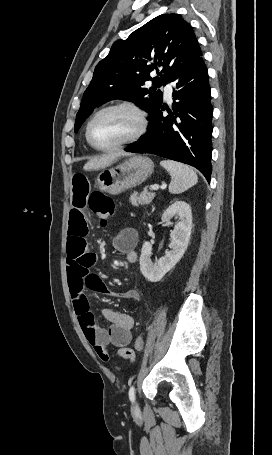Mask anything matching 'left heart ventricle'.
Returning a JSON list of instances; mask_svg holds the SVG:
<instances>
[{
    "label": "left heart ventricle",
    "instance_id": "1",
    "mask_svg": "<svg viewBox=\"0 0 272 455\" xmlns=\"http://www.w3.org/2000/svg\"><path fill=\"white\" fill-rule=\"evenodd\" d=\"M138 127L136 115L128 109H114L102 113L93 123L91 137L100 147L113 146L135 133Z\"/></svg>",
    "mask_w": 272,
    "mask_h": 455
}]
</instances>
